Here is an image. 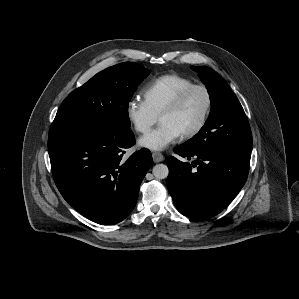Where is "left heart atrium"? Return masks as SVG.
<instances>
[{"label": "left heart atrium", "mask_w": 299, "mask_h": 299, "mask_svg": "<svg viewBox=\"0 0 299 299\" xmlns=\"http://www.w3.org/2000/svg\"><path fill=\"white\" fill-rule=\"evenodd\" d=\"M181 136L180 131L171 124L163 123L142 136L138 144L143 148L160 151L174 143Z\"/></svg>", "instance_id": "left-heart-atrium-1"}]
</instances>
